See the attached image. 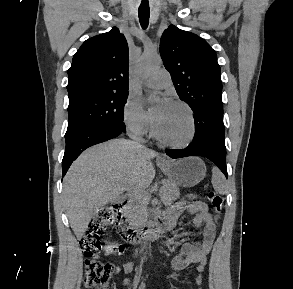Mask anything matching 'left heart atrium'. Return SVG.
Segmentation results:
<instances>
[{"label": "left heart atrium", "mask_w": 293, "mask_h": 289, "mask_svg": "<svg viewBox=\"0 0 293 289\" xmlns=\"http://www.w3.org/2000/svg\"><path fill=\"white\" fill-rule=\"evenodd\" d=\"M170 105L171 103L167 99L161 100L160 104L152 114L154 124L157 123L163 117V115L166 113Z\"/></svg>", "instance_id": "left-heart-atrium-1"}]
</instances>
